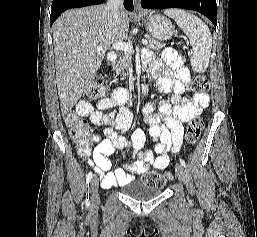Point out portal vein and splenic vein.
Instances as JSON below:
<instances>
[{"mask_svg":"<svg viewBox=\"0 0 257 237\" xmlns=\"http://www.w3.org/2000/svg\"><path fill=\"white\" fill-rule=\"evenodd\" d=\"M142 44L143 45H147L148 44V41L147 40H142ZM112 47L115 49V50H119V51H124V52H129L131 53L133 51V47L131 44L129 43H124V42H118V43H115L112 45ZM97 50H102V47L101 46H97L96 47Z\"/></svg>","mask_w":257,"mask_h":237,"instance_id":"1","label":"portal vein and splenic vein"}]
</instances>
